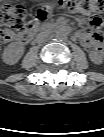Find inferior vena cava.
I'll return each mask as SVG.
<instances>
[{
    "label": "inferior vena cava",
    "mask_w": 104,
    "mask_h": 137,
    "mask_svg": "<svg viewBox=\"0 0 104 137\" xmlns=\"http://www.w3.org/2000/svg\"><path fill=\"white\" fill-rule=\"evenodd\" d=\"M38 41H39V43H41V44H45V43H47L48 38H47V36H45V35H41V36H39Z\"/></svg>",
    "instance_id": "inferior-vena-cava-1"
}]
</instances>
